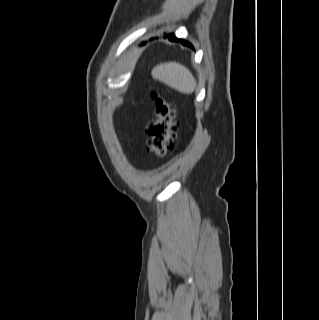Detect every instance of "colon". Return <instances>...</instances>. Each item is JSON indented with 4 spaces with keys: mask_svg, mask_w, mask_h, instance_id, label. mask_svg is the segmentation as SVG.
I'll use <instances>...</instances> for the list:
<instances>
[{
    "mask_svg": "<svg viewBox=\"0 0 319 320\" xmlns=\"http://www.w3.org/2000/svg\"><path fill=\"white\" fill-rule=\"evenodd\" d=\"M153 119L148 127L150 137L147 150L157 158H165L174 148L179 122L171 104L160 94L153 92Z\"/></svg>",
    "mask_w": 319,
    "mask_h": 320,
    "instance_id": "1",
    "label": "colon"
}]
</instances>
